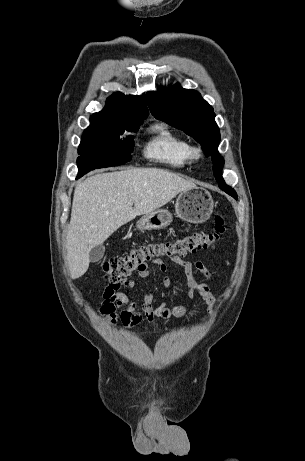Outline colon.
Listing matches in <instances>:
<instances>
[{"mask_svg": "<svg viewBox=\"0 0 305 461\" xmlns=\"http://www.w3.org/2000/svg\"><path fill=\"white\" fill-rule=\"evenodd\" d=\"M214 222L215 227L212 232L196 231L175 240L141 244L125 256L106 260L103 263L105 277L114 282L122 281L134 272L145 269L149 262L214 248L227 233L221 215H216Z\"/></svg>", "mask_w": 305, "mask_h": 461, "instance_id": "1", "label": "colon"}]
</instances>
